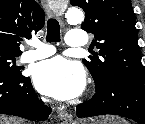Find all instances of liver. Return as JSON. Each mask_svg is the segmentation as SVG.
Segmentation results:
<instances>
[{
	"mask_svg": "<svg viewBox=\"0 0 145 124\" xmlns=\"http://www.w3.org/2000/svg\"><path fill=\"white\" fill-rule=\"evenodd\" d=\"M0 124H23L21 120L14 117H0Z\"/></svg>",
	"mask_w": 145,
	"mask_h": 124,
	"instance_id": "obj_1",
	"label": "liver"
}]
</instances>
